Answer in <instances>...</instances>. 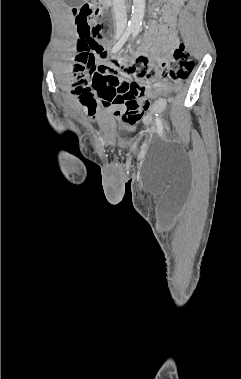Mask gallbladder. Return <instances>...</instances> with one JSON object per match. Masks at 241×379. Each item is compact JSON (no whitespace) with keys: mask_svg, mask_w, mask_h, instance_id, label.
Returning <instances> with one entry per match:
<instances>
[{"mask_svg":"<svg viewBox=\"0 0 241 379\" xmlns=\"http://www.w3.org/2000/svg\"><path fill=\"white\" fill-rule=\"evenodd\" d=\"M71 2H74L75 0H70Z\"/></svg>","mask_w":241,"mask_h":379,"instance_id":"1","label":"gallbladder"}]
</instances>
